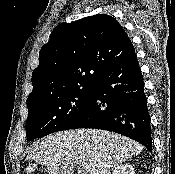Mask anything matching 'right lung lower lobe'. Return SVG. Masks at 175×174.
<instances>
[{"label": "right lung lower lobe", "instance_id": "obj_1", "mask_svg": "<svg viewBox=\"0 0 175 174\" xmlns=\"http://www.w3.org/2000/svg\"><path fill=\"white\" fill-rule=\"evenodd\" d=\"M76 128L113 131L152 152L150 116L136 55L113 66L95 83L86 108L64 130Z\"/></svg>", "mask_w": 175, "mask_h": 174}]
</instances>
